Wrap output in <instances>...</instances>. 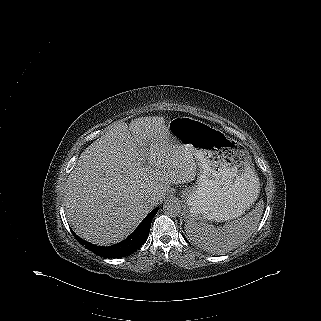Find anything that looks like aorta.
Segmentation results:
<instances>
[{
	"instance_id": "aorta-1",
	"label": "aorta",
	"mask_w": 321,
	"mask_h": 321,
	"mask_svg": "<svg viewBox=\"0 0 321 321\" xmlns=\"http://www.w3.org/2000/svg\"><path fill=\"white\" fill-rule=\"evenodd\" d=\"M163 210L165 214L171 217H176L180 215V213L182 212V206L178 200L168 199L165 201L163 205Z\"/></svg>"
}]
</instances>
